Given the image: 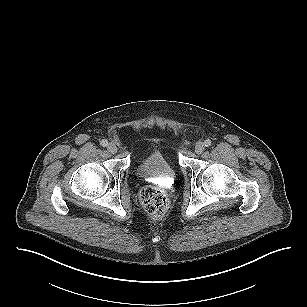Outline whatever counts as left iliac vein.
<instances>
[{
  "label": "left iliac vein",
  "instance_id": "1",
  "mask_svg": "<svg viewBox=\"0 0 307 307\" xmlns=\"http://www.w3.org/2000/svg\"><path fill=\"white\" fill-rule=\"evenodd\" d=\"M194 149L197 154H201L205 149L204 143L197 142Z\"/></svg>",
  "mask_w": 307,
  "mask_h": 307
}]
</instances>
